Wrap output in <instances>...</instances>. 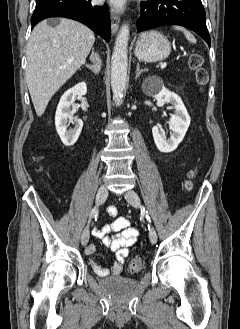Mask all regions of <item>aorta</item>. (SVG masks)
Returning <instances> with one entry per match:
<instances>
[{"mask_svg": "<svg viewBox=\"0 0 240 329\" xmlns=\"http://www.w3.org/2000/svg\"><path fill=\"white\" fill-rule=\"evenodd\" d=\"M129 27L122 25L112 54L111 87L116 106L122 101L127 81Z\"/></svg>", "mask_w": 240, "mask_h": 329, "instance_id": "obj_1", "label": "aorta"}]
</instances>
